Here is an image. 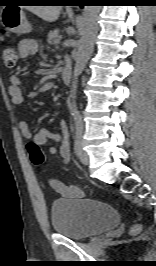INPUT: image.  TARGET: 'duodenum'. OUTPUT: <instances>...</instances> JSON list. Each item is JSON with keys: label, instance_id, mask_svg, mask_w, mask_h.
<instances>
[{"label": "duodenum", "instance_id": "obj_1", "mask_svg": "<svg viewBox=\"0 0 156 266\" xmlns=\"http://www.w3.org/2000/svg\"><path fill=\"white\" fill-rule=\"evenodd\" d=\"M62 80H63L64 84H66V85L71 83L72 69L68 63L62 71Z\"/></svg>", "mask_w": 156, "mask_h": 266}]
</instances>
